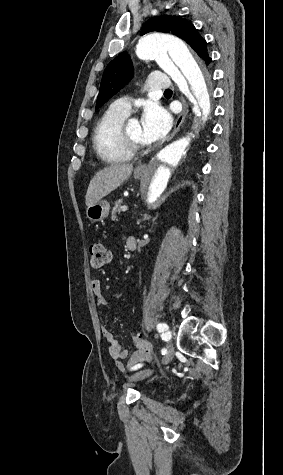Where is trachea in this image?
<instances>
[{"mask_svg":"<svg viewBox=\"0 0 283 475\" xmlns=\"http://www.w3.org/2000/svg\"><path fill=\"white\" fill-rule=\"evenodd\" d=\"M164 94H166V95H167V94H170V95H171V94H172V90L167 89V90H165Z\"/></svg>","mask_w":283,"mask_h":475,"instance_id":"trachea-1","label":"trachea"}]
</instances>
